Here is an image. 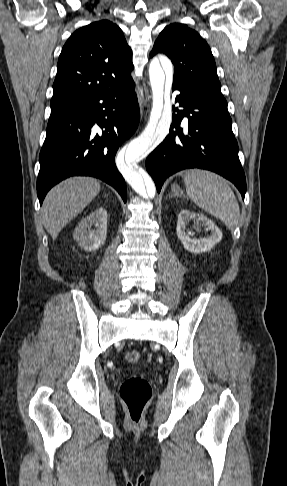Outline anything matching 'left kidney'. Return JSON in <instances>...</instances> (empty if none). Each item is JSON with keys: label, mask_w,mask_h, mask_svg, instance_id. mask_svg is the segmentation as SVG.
Returning a JSON list of instances; mask_svg holds the SVG:
<instances>
[{"label": "left kidney", "mask_w": 287, "mask_h": 486, "mask_svg": "<svg viewBox=\"0 0 287 486\" xmlns=\"http://www.w3.org/2000/svg\"><path fill=\"white\" fill-rule=\"evenodd\" d=\"M191 220L197 223L202 222L207 226V230L211 232L210 236L199 239L192 238L191 233L186 231V226ZM176 230L184 248L194 254L210 251L222 239V232L213 221L202 214L193 213L189 210H182L179 213Z\"/></svg>", "instance_id": "obj_1"}]
</instances>
